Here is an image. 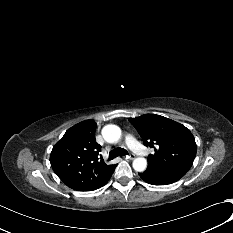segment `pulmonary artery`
Listing matches in <instances>:
<instances>
[{"instance_id":"1","label":"pulmonary artery","mask_w":233,"mask_h":233,"mask_svg":"<svg viewBox=\"0 0 233 233\" xmlns=\"http://www.w3.org/2000/svg\"><path fill=\"white\" fill-rule=\"evenodd\" d=\"M124 139L129 148L133 150L135 153L139 155L145 154V151L142 148V146L131 135H126Z\"/></svg>"}]
</instances>
